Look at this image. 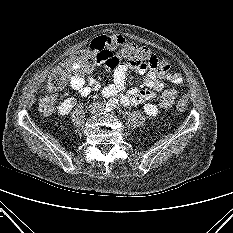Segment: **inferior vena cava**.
<instances>
[{"label":"inferior vena cava","instance_id":"602c4592","mask_svg":"<svg viewBox=\"0 0 233 233\" xmlns=\"http://www.w3.org/2000/svg\"><path fill=\"white\" fill-rule=\"evenodd\" d=\"M102 107H103V103L94 102L92 105H90V111L95 114L101 111Z\"/></svg>","mask_w":233,"mask_h":233}]
</instances>
